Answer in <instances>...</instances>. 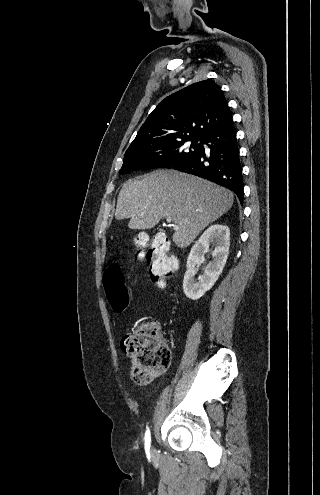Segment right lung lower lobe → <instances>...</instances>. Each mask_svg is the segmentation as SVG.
Returning a JSON list of instances; mask_svg holds the SVG:
<instances>
[{"instance_id": "obj_1", "label": "right lung lower lobe", "mask_w": 320, "mask_h": 495, "mask_svg": "<svg viewBox=\"0 0 320 495\" xmlns=\"http://www.w3.org/2000/svg\"><path fill=\"white\" fill-rule=\"evenodd\" d=\"M203 144L210 153L205 152ZM172 168L227 187L243 201L242 166L232 118L203 136L199 150Z\"/></svg>"}]
</instances>
